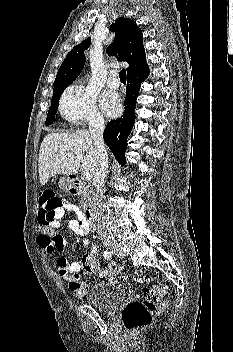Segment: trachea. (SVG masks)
I'll return each instance as SVG.
<instances>
[{
  "instance_id": "trachea-1",
  "label": "trachea",
  "mask_w": 233,
  "mask_h": 352,
  "mask_svg": "<svg viewBox=\"0 0 233 352\" xmlns=\"http://www.w3.org/2000/svg\"><path fill=\"white\" fill-rule=\"evenodd\" d=\"M119 77L122 82H126V70L123 69L119 72Z\"/></svg>"
}]
</instances>
